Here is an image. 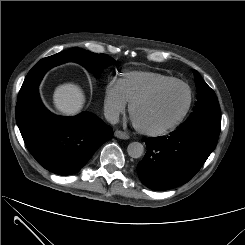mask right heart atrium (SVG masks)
<instances>
[{
	"label": "right heart atrium",
	"instance_id": "1",
	"mask_svg": "<svg viewBox=\"0 0 245 245\" xmlns=\"http://www.w3.org/2000/svg\"><path fill=\"white\" fill-rule=\"evenodd\" d=\"M126 109L127 101L120 90L119 82H108L103 93V110L106 118L111 122H116Z\"/></svg>",
	"mask_w": 245,
	"mask_h": 245
}]
</instances>
